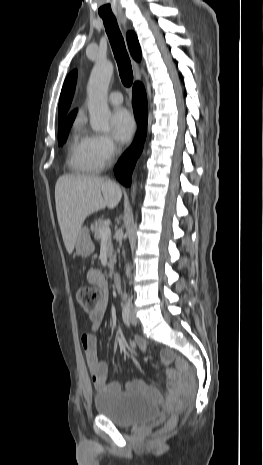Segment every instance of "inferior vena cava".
Returning <instances> with one entry per match:
<instances>
[{
    "label": "inferior vena cava",
    "instance_id": "602c4592",
    "mask_svg": "<svg viewBox=\"0 0 263 465\" xmlns=\"http://www.w3.org/2000/svg\"><path fill=\"white\" fill-rule=\"evenodd\" d=\"M127 303H128V305H129L130 307H132V301H131L130 298H128Z\"/></svg>",
    "mask_w": 263,
    "mask_h": 465
}]
</instances>
